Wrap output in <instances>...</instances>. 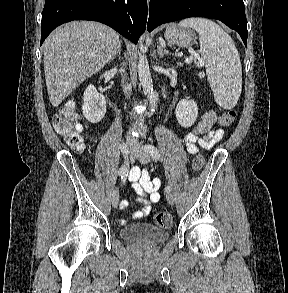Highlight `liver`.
I'll list each match as a JSON object with an SVG mask.
<instances>
[{
  "mask_svg": "<svg viewBox=\"0 0 288 293\" xmlns=\"http://www.w3.org/2000/svg\"><path fill=\"white\" fill-rule=\"evenodd\" d=\"M118 43L119 34L98 22L72 21L56 28L43 44L50 103L57 107L83 81L103 69Z\"/></svg>",
  "mask_w": 288,
  "mask_h": 293,
  "instance_id": "6515ba94",
  "label": "liver"
}]
</instances>
